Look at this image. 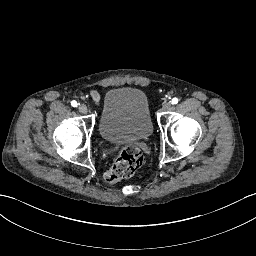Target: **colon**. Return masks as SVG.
I'll return each mask as SVG.
<instances>
[{
  "mask_svg": "<svg viewBox=\"0 0 256 256\" xmlns=\"http://www.w3.org/2000/svg\"><path fill=\"white\" fill-rule=\"evenodd\" d=\"M144 165L142 150L135 145H126L120 151L113 166L104 174V180L113 183L125 177H131Z\"/></svg>",
  "mask_w": 256,
  "mask_h": 256,
  "instance_id": "obj_1",
  "label": "colon"
}]
</instances>
